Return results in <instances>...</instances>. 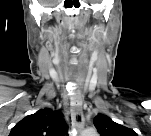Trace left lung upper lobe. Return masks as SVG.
Returning <instances> with one entry per match:
<instances>
[{
	"mask_svg": "<svg viewBox=\"0 0 151 136\" xmlns=\"http://www.w3.org/2000/svg\"><path fill=\"white\" fill-rule=\"evenodd\" d=\"M100 136H134V131L120 125L106 115H98L93 121Z\"/></svg>",
	"mask_w": 151,
	"mask_h": 136,
	"instance_id": "left-lung-upper-lobe-1",
	"label": "left lung upper lobe"
}]
</instances>
